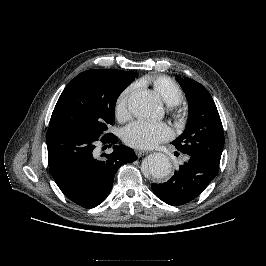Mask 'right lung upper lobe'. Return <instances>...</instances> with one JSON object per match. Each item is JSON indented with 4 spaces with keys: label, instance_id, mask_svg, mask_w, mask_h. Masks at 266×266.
Listing matches in <instances>:
<instances>
[{
    "label": "right lung upper lobe",
    "instance_id": "cb5924a9",
    "mask_svg": "<svg viewBox=\"0 0 266 266\" xmlns=\"http://www.w3.org/2000/svg\"><path fill=\"white\" fill-rule=\"evenodd\" d=\"M118 71H119V70H118ZM120 72L127 73V74L131 73V72H125V71H120Z\"/></svg>",
    "mask_w": 266,
    "mask_h": 266
}]
</instances>
